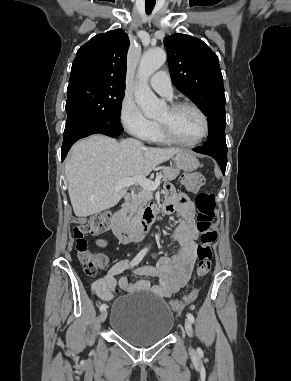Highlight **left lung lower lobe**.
<instances>
[{"instance_id":"left-lung-lower-lobe-1","label":"left lung lower lobe","mask_w":291,"mask_h":381,"mask_svg":"<svg viewBox=\"0 0 291 381\" xmlns=\"http://www.w3.org/2000/svg\"><path fill=\"white\" fill-rule=\"evenodd\" d=\"M195 152L213 157L220 165L223 174L227 165L226 140L207 141L203 146L194 149Z\"/></svg>"}]
</instances>
